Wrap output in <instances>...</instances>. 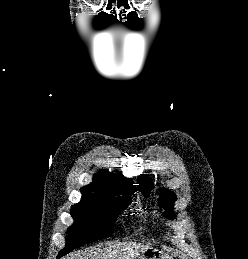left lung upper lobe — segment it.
<instances>
[{
    "mask_svg": "<svg viewBox=\"0 0 248 259\" xmlns=\"http://www.w3.org/2000/svg\"><path fill=\"white\" fill-rule=\"evenodd\" d=\"M140 191L144 196H148L150 194L152 184L148 181L147 178H140L138 180ZM177 199L174 193L170 192L167 189L162 190V194L159 197L158 204L161 208H164L166 211L164 212V216L167 218H174L173 214V203Z\"/></svg>",
    "mask_w": 248,
    "mask_h": 259,
    "instance_id": "obj_1",
    "label": "left lung upper lobe"
}]
</instances>
